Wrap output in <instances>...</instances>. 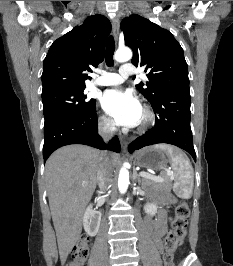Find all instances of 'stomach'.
Listing matches in <instances>:
<instances>
[{"mask_svg":"<svg viewBox=\"0 0 233 266\" xmlns=\"http://www.w3.org/2000/svg\"><path fill=\"white\" fill-rule=\"evenodd\" d=\"M169 161L170 157L167 152L155 147L141 149L133 156V162L136 166L152 169L156 172H161Z\"/></svg>","mask_w":233,"mask_h":266,"instance_id":"1","label":"stomach"}]
</instances>
